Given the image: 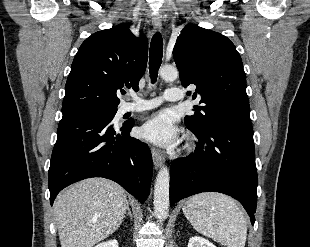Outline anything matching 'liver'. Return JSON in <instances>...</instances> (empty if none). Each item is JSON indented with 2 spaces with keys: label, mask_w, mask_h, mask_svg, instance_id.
Segmentation results:
<instances>
[{
  "label": "liver",
  "mask_w": 310,
  "mask_h": 247,
  "mask_svg": "<svg viewBox=\"0 0 310 247\" xmlns=\"http://www.w3.org/2000/svg\"><path fill=\"white\" fill-rule=\"evenodd\" d=\"M128 205L124 189L104 178L68 187L53 208L61 247H93L106 239L121 225Z\"/></svg>",
  "instance_id": "1"
}]
</instances>
